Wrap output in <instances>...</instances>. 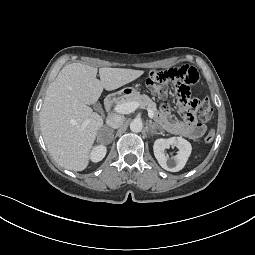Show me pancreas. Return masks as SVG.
<instances>
[{
	"mask_svg": "<svg viewBox=\"0 0 255 255\" xmlns=\"http://www.w3.org/2000/svg\"><path fill=\"white\" fill-rule=\"evenodd\" d=\"M125 102H138L141 107L151 109L155 116L158 115V111L156 108V103L153 102L147 95L136 93L133 96L127 97L125 99H121L118 103Z\"/></svg>",
	"mask_w": 255,
	"mask_h": 255,
	"instance_id": "obj_1",
	"label": "pancreas"
}]
</instances>
